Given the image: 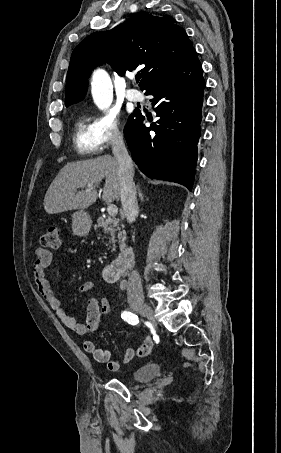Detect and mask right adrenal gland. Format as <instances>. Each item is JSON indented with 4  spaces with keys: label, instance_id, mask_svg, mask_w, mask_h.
Masks as SVG:
<instances>
[{
    "label": "right adrenal gland",
    "instance_id": "1",
    "mask_svg": "<svg viewBox=\"0 0 281 453\" xmlns=\"http://www.w3.org/2000/svg\"><path fill=\"white\" fill-rule=\"evenodd\" d=\"M136 188H137V190H138V196H139V198H140V202H143L144 196H143V192H142V190H141L139 184H137Z\"/></svg>",
    "mask_w": 281,
    "mask_h": 453
}]
</instances>
